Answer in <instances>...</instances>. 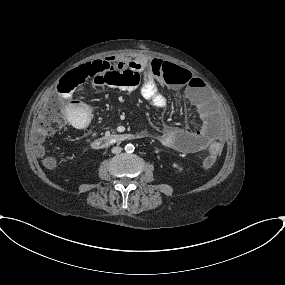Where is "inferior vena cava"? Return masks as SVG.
<instances>
[{
  "label": "inferior vena cava",
  "instance_id": "obj_1",
  "mask_svg": "<svg viewBox=\"0 0 285 285\" xmlns=\"http://www.w3.org/2000/svg\"><path fill=\"white\" fill-rule=\"evenodd\" d=\"M122 151V148L121 147H113L112 149V153L113 154H118Z\"/></svg>",
  "mask_w": 285,
  "mask_h": 285
}]
</instances>
